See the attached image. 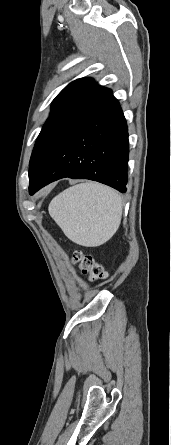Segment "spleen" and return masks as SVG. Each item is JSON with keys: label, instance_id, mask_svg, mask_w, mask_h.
Here are the masks:
<instances>
[{"label": "spleen", "instance_id": "1", "mask_svg": "<svg viewBox=\"0 0 171 445\" xmlns=\"http://www.w3.org/2000/svg\"><path fill=\"white\" fill-rule=\"evenodd\" d=\"M48 211L71 241L95 247L107 242L118 230L122 200L112 188L85 182L54 197Z\"/></svg>", "mask_w": 171, "mask_h": 445}]
</instances>
